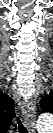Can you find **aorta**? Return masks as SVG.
<instances>
[{"label":"aorta","mask_w":53,"mask_h":133,"mask_svg":"<svg viewBox=\"0 0 53 133\" xmlns=\"http://www.w3.org/2000/svg\"><path fill=\"white\" fill-rule=\"evenodd\" d=\"M52 126V115L50 113L41 114L38 118V128L40 130L49 129Z\"/></svg>","instance_id":"1"}]
</instances>
